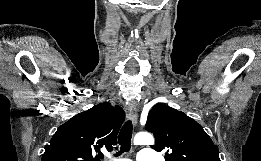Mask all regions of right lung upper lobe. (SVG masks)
Returning <instances> with one entry per match:
<instances>
[{
  "label": "right lung upper lobe",
  "instance_id": "1",
  "mask_svg": "<svg viewBox=\"0 0 261 161\" xmlns=\"http://www.w3.org/2000/svg\"><path fill=\"white\" fill-rule=\"evenodd\" d=\"M125 114L121 107L101 103L61 125L45 146L42 161H100V148L112 150Z\"/></svg>",
  "mask_w": 261,
  "mask_h": 161
}]
</instances>
